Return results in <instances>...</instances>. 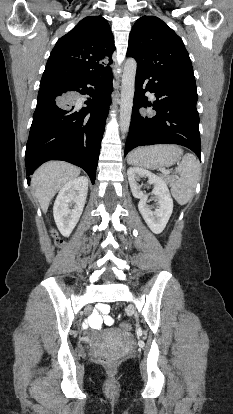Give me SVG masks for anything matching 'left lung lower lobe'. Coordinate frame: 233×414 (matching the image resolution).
Listing matches in <instances>:
<instances>
[{
	"mask_svg": "<svg viewBox=\"0 0 233 414\" xmlns=\"http://www.w3.org/2000/svg\"><path fill=\"white\" fill-rule=\"evenodd\" d=\"M147 91L156 93L154 102L148 101L145 96ZM196 103L195 83L164 81L137 69L134 105L124 155L138 146L178 144L191 149L201 159ZM150 106L156 115L142 116L139 109Z\"/></svg>",
	"mask_w": 233,
	"mask_h": 414,
	"instance_id": "1",
	"label": "left lung lower lobe"
}]
</instances>
